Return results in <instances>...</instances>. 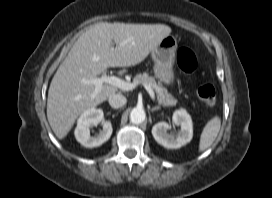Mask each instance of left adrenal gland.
I'll use <instances>...</instances> for the list:
<instances>
[{"instance_id":"obj_1","label":"left adrenal gland","mask_w":272,"mask_h":198,"mask_svg":"<svg viewBox=\"0 0 272 198\" xmlns=\"http://www.w3.org/2000/svg\"><path fill=\"white\" fill-rule=\"evenodd\" d=\"M161 108L159 107V106H156V107H154V108H151L150 109V111L151 112H154V111H158V110H160Z\"/></svg>"}]
</instances>
